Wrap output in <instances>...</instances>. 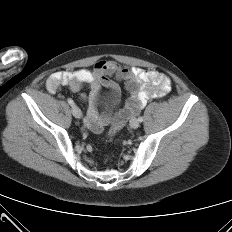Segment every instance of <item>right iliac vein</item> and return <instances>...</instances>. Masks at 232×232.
Wrapping results in <instances>:
<instances>
[{"mask_svg": "<svg viewBox=\"0 0 232 232\" xmlns=\"http://www.w3.org/2000/svg\"><path fill=\"white\" fill-rule=\"evenodd\" d=\"M72 114L77 119H80L82 117L81 110L75 105L72 106Z\"/></svg>", "mask_w": 232, "mask_h": 232, "instance_id": "63e3f726", "label": "right iliac vein"}]
</instances>
